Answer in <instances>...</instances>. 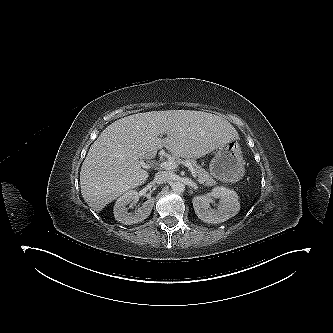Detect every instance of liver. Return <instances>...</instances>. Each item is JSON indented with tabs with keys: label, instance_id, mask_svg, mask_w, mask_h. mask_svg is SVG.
Instances as JSON below:
<instances>
[{
	"label": "liver",
	"instance_id": "6515ba94",
	"mask_svg": "<svg viewBox=\"0 0 333 333\" xmlns=\"http://www.w3.org/2000/svg\"><path fill=\"white\" fill-rule=\"evenodd\" d=\"M164 133L167 137L160 138ZM238 138L226 120L201 111H151L121 118L91 145L80 172L82 196L99 212L147 180L141 161L153 158L159 149L194 159Z\"/></svg>",
	"mask_w": 333,
	"mask_h": 333
}]
</instances>
